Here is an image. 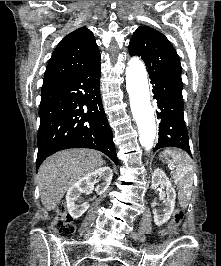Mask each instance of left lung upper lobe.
<instances>
[{
  "instance_id": "left-lung-upper-lobe-1",
  "label": "left lung upper lobe",
  "mask_w": 221,
  "mask_h": 266,
  "mask_svg": "<svg viewBox=\"0 0 221 266\" xmlns=\"http://www.w3.org/2000/svg\"><path fill=\"white\" fill-rule=\"evenodd\" d=\"M129 54L143 59L149 77H161L182 84L179 56L159 31L148 26L137 28L129 43Z\"/></svg>"
}]
</instances>
